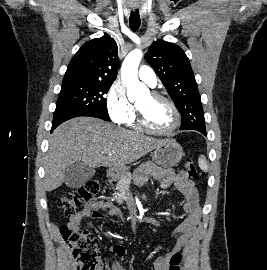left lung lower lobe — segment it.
I'll return each instance as SVG.
<instances>
[{"mask_svg":"<svg viewBox=\"0 0 267 270\" xmlns=\"http://www.w3.org/2000/svg\"><path fill=\"white\" fill-rule=\"evenodd\" d=\"M199 132H201L202 134L206 135V130H200Z\"/></svg>","mask_w":267,"mask_h":270,"instance_id":"left-lung-lower-lobe-1","label":"left lung lower lobe"}]
</instances>
